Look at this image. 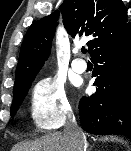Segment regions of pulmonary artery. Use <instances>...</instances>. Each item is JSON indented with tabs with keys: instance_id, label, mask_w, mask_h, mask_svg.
<instances>
[{
	"instance_id": "1",
	"label": "pulmonary artery",
	"mask_w": 131,
	"mask_h": 151,
	"mask_svg": "<svg viewBox=\"0 0 131 151\" xmlns=\"http://www.w3.org/2000/svg\"><path fill=\"white\" fill-rule=\"evenodd\" d=\"M87 68V64L84 60L82 59H74L72 61V69L76 72V73H83L86 71Z\"/></svg>"
}]
</instances>
